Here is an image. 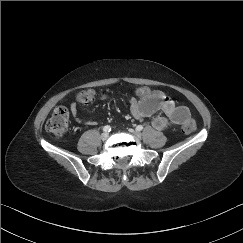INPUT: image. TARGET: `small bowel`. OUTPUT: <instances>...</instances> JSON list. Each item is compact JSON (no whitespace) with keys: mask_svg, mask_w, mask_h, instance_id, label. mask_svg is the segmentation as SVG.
Returning <instances> with one entry per match:
<instances>
[{"mask_svg":"<svg viewBox=\"0 0 243 243\" xmlns=\"http://www.w3.org/2000/svg\"><path fill=\"white\" fill-rule=\"evenodd\" d=\"M138 98L130 100V111L132 116L137 120L150 117L157 111H162L163 115L153 119L152 125L157 130H163L168 124L182 125L190 119V110L183 105H177L172 98L163 92L150 91L143 87L137 91ZM102 99L106 95H102ZM70 111L74 120L79 124L85 121L78 117V106L76 103L70 105Z\"/></svg>","mask_w":243,"mask_h":243,"instance_id":"small-bowel-1","label":"small bowel"}]
</instances>
